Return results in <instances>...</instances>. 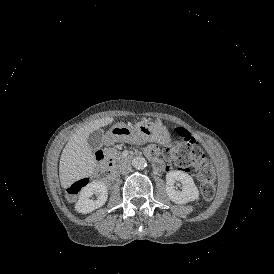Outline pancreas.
I'll list each match as a JSON object with an SVG mask.
<instances>
[{
	"label": "pancreas",
	"mask_w": 274,
	"mask_h": 274,
	"mask_svg": "<svg viewBox=\"0 0 274 274\" xmlns=\"http://www.w3.org/2000/svg\"><path fill=\"white\" fill-rule=\"evenodd\" d=\"M106 156L112 158L114 161V167L117 168L118 165L123 163V158L116 148H106L105 149Z\"/></svg>",
	"instance_id": "pancreas-1"
}]
</instances>
